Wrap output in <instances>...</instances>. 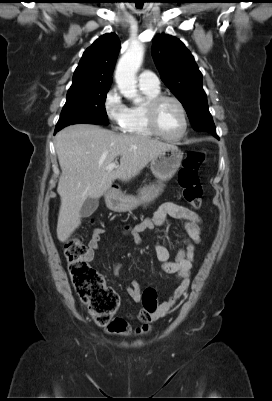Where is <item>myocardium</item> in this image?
I'll return each mask as SVG.
<instances>
[{
    "mask_svg": "<svg viewBox=\"0 0 272 401\" xmlns=\"http://www.w3.org/2000/svg\"><path fill=\"white\" fill-rule=\"evenodd\" d=\"M167 101H172V102L176 103L183 116L184 127H183L182 133L178 136L171 137V136L166 135L160 129L159 124H158L159 109L162 106V104ZM146 119H147V123H148L150 130L156 136H158L166 141H170V142H176V141H180L181 139H183L186 136L188 129H189V119H188L187 110H186L184 104L182 103V101L180 99H178L175 96H171V95L160 94V95L152 98L148 102L147 107H146Z\"/></svg>",
    "mask_w": 272,
    "mask_h": 401,
    "instance_id": "obj_1",
    "label": "myocardium"
}]
</instances>
